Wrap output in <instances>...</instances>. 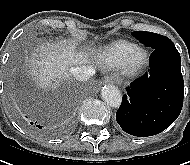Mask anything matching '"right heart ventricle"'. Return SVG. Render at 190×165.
<instances>
[{"mask_svg":"<svg viewBox=\"0 0 190 165\" xmlns=\"http://www.w3.org/2000/svg\"><path fill=\"white\" fill-rule=\"evenodd\" d=\"M138 46L127 40H117L105 46L98 54V59L106 68L123 66L126 57Z\"/></svg>","mask_w":190,"mask_h":165,"instance_id":"1","label":"right heart ventricle"}]
</instances>
